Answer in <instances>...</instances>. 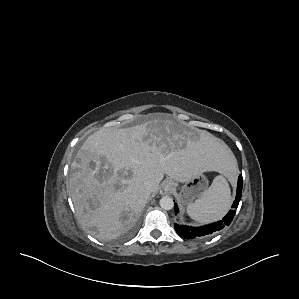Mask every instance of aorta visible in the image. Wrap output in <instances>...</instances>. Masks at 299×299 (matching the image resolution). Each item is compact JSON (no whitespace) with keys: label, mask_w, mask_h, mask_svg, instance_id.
<instances>
[{"label":"aorta","mask_w":299,"mask_h":299,"mask_svg":"<svg viewBox=\"0 0 299 299\" xmlns=\"http://www.w3.org/2000/svg\"><path fill=\"white\" fill-rule=\"evenodd\" d=\"M159 203L161 208L164 210H171L174 207V201L169 196H163Z\"/></svg>","instance_id":"aorta-1"}]
</instances>
